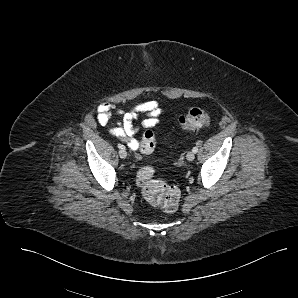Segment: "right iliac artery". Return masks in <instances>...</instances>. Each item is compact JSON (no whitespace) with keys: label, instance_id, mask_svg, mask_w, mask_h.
<instances>
[{"label":"right iliac artery","instance_id":"82829eb1","mask_svg":"<svg viewBox=\"0 0 298 298\" xmlns=\"http://www.w3.org/2000/svg\"><path fill=\"white\" fill-rule=\"evenodd\" d=\"M118 148L121 149V150H125V147L122 144H118Z\"/></svg>","mask_w":298,"mask_h":298}]
</instances>
